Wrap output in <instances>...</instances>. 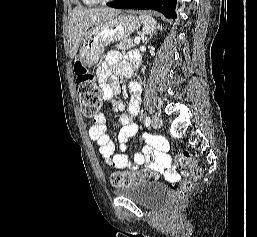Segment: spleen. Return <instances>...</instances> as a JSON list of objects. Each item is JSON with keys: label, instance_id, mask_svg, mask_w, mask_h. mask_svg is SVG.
Returning <instances> with one entry per match:
<instances>
[{"label": "spleen", "instance_id": "spleen-1", "mask_svg": "<svg viewBox=\"0 0 257 237\" xmlns=\"http://www.w3.org/2000/svg\"><path fill=\"white\" fill-rule=\"evenodd\" d=\"M139 18L143 23V34H151V32L156 28L157 22L155 19L148 15H140Z\"/></svg>", "mask_w": 257, "mask_h": 237}]
</instances>
